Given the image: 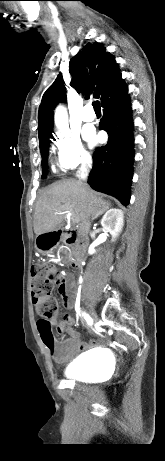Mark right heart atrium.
I'll return each instance as SVG.
<instances>
[{"mask_svg": "<svg viewBox=\"0 0 165 461\" xmlns=\"http://www.w3.org/2000/svg\"><path fill=\"white\" fill-rule=\"evenodd\" d=\"M57 163L64 170L76 169L90 163L91 157L76 134L58 132L54 137Z\"/></svg>", "mask_w": 165, "mask_h": 461, "instance_id": "obj_1", "label": "right heart atrium"}]
</instances>
